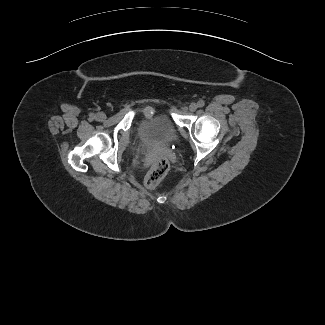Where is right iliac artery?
<instances>
[{"instance_id": "right-iliac-artery-1", "label": "right iliac artery", "mask_w": 325, "mask_h": 325, "mask_svg": "<svg viewBox=\"0 0 325 325\" xmlns=\"http://www.w3.org/2000/svg\"><path fill=\"white\" fill-rule=\"evenodd\" d=\"M95 118V115L94 114H91L90 115V120H93Z\"/></svg>"}]
</instances>
